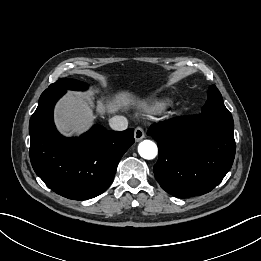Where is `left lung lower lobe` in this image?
<instances>
[{
	"label": "left lung lower lobe",
	"mask_w": 261,
	"mask_h": 261,
	"mask_svg": "<svg viewBox=\"0 0 261 261\" xmlns=\"http://www.w3.org/2000/svg\"><path fill=\"white\" fill-rule=\"evenodd\" d=\"M231 117L196 114L152 125L148 135L158 142L153 167L161 187L178 198L203 195L215 188L235 157Z\"/></svg>",
	"instance_id": "0a47b994"
}]
</instances>
